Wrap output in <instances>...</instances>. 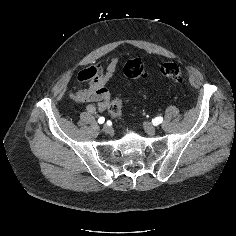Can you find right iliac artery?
<instances>
[{
	"mask_svg": "<svg viewBox=\"0 0 236 236\" xmlns=\"http://www.w3.org/2000/svg\"><path fill=\"white\" fill-rule=\"evenodd\" d=\"M104 121H105V118H104V117H100V118L98 119V123H99V124H103Z\"/></svg>",
	"mask_w": 236,
	"mask_h": 236,
	"instance_id": "obj_1",
	"label": "right iliac artery"
}]
</instances>
